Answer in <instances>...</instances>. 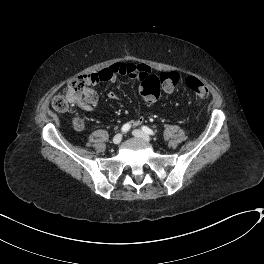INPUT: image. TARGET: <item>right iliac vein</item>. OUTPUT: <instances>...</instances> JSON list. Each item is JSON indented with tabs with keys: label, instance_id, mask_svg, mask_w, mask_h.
<instances>
[{
	"label": "right iliac vein",
	"instance_id": "1",
	"mask_svg": "<svg viewBox=\"0 0 264 264\" xmlns=\"http://www.w3.org/2000/svg\"><path fill=\"white\" fill-rule=\"evenodd\" d=\"M122 140V134H117L113 138V144L118 145Z\"/></svg>",
	"mask_w": 264,
	"mask_h": 264
}]
</instances>
